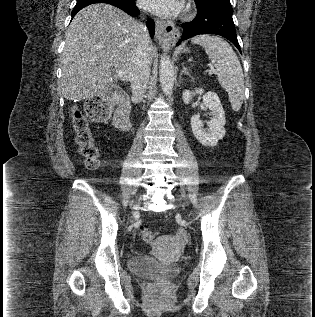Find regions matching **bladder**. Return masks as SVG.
<instances>
[{"label":"bladder","instance_id":"bladder-1","mask_svg":"<svg viewBox=\"0 0 315 317\" xmlns=\"http://www.w3.org/2000/svg\"><path fill=\"white\" fill-rule=\"evenodd\" d=\"M130 269L144 277L174 274L180 270V265H165L150 256L136 255L129 261Z\"/></svg>","mask_w":315,"mask_h":317}]
</instances>
